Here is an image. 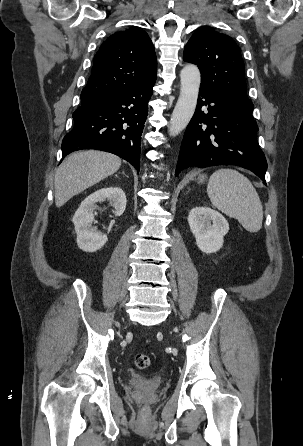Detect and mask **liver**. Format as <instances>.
Returning a JSON list of instances; mask_svg holds the SVG:
<instances>
[{"label": "liver", "mask_w": 303, "mask_h": 446, "mask_svg": "<svg viewBox=\"0 0 303 446\" xmlns=\"http://www.w3.org/2000/svg\"><path fill=\"white\" fill-rule=\"evenodd\" d=\"M121 159L114 154L88 150L72 153L55 175V204L63 206L73 196L114 174Z\"/></svg>", "instance_id": "obj_1"}]
</instances>
